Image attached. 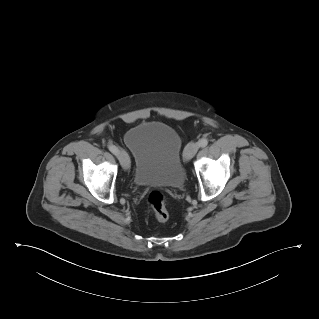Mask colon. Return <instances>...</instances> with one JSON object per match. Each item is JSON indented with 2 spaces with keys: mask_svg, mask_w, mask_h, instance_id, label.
<instances>
[{
  "mask_svg": "<svg viewBox=\"0 0 319 319\" xmlns=\"http://www.w3.org/2000/svg\"><path fill=\"white\" fill-rule=\"evenodd\" d=\"M147 202L158 221L165 222L168 220L169 213L166 208L165 197L162 192L157 190L150 192L147 197Z\"/></svg>",
  "mask_w": 319,
  "mask_h": 319,
  "instance_id": "1",
  "label": "colon"
}]
</instances>
